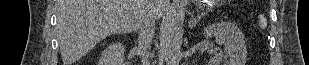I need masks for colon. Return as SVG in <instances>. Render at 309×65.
<instances>
[{
    "label": "colon",
    "instance_id": "1",
    "mask_svg": "<svg viewBox=\"0 0 309 65\" xmlns=\"http://www.w3.org/2000/svg\"><path fill=\"white\" fill-rule=\"evenodd\" d=\"M260 22H261L262 25H264L265 20L262 18V19L260 20Z\"/></svg>",
    "mask_w": 309,
    "mask_h": 65
}]
</instances>
